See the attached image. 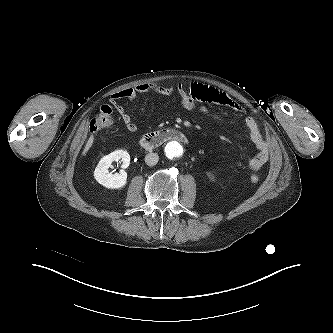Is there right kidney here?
<instances>
[{
	"mask_svg": "<svg viewBox=\"0 0 333 333\" xmlns=\"http://www.w3.org/2000/svg\"><path fill=\"white\" fill-rule=\"evenodd\" d=\"M114 161L122 162L121 167L125 169L130 164V155L127 151L117 150L104 156L99 161L93 175L96 181L106 188L119 189L126 185L127 173L124 170L115 174L110 173L108 169Z\"/></svg>",
	"mask_w": 333,
	"mask_h": 333,
	"instance_id": "ca27d5eb",
	"label": "right kidney"
}]
</instances>
